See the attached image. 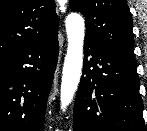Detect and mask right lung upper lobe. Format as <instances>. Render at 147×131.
I'll return each instance as SVG.
<instances>
[{
    "mask_svg": "<svg viewBox=\"0 0 147 131\" xmlns=\"http://www.w3.org/2000/svg\"><path fill=\"white\" fill-rule=\"evenodd\" d=\"M54 0H0V56L58 33Z\"/></svg>",
    "mask_w": 147,
    "mask_h": 131,
    "instance_id": "obj_1",
    "label": "right lung upper lobe"
}]
</instances>
